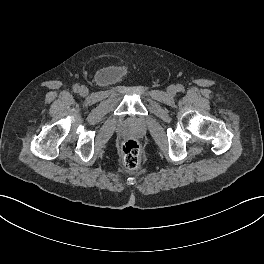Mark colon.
<instances>
[{"label":"colon","instance_id":"1","mask_svg":"<svg viewBox=\"0 0 264 264\" xmlns=\"http://www.w3.org/2000/svg\"><path fill=\"white\" fill-rule=\"evenodd\" d=\"M121 154L124 165L129 169H136L142 160L140 144L135 139H128L122 143Z\"/></svg>","mask_w":264,"mask_h":264}]
</instances>
